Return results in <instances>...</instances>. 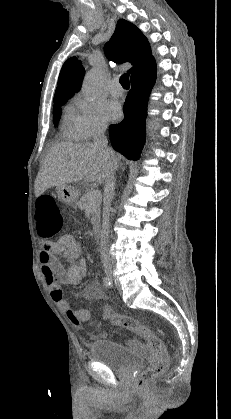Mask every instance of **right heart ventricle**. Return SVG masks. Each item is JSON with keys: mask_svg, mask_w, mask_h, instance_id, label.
Returning <instances> with one entry per match:
<instances>
[{"mask_svg": "<svg viewBox=\"0 0 231 419\" xmlns=\"http://www.w3.org/2000/svg\"><path fill=\"white\" fill-rule=\"evenodd\" d=\"M62 134L65 138L71 140H77L79 138L74 128L71 107L66 109L62 123Z\"/></svg>", "mask_w": 231, "mask_h": 419, "instance_id": "1", "label": "right heart ventricle"}]
</instances>
